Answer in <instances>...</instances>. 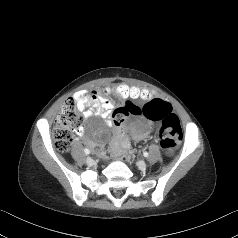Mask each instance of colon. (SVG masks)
I'll use <instances>...</instances> for the list:
<instances>
[{
  "label": "colon",
  "mask_w": 238,
  "mask_h": 238,
  "mask_svg": "<svg viewBox=\"0 0 238 238\" xmlns=\"http://www.w3.org/2000/svg\"><path fill=\"white\" fill-rule=\"evenodd\" d=\"M116 94L120 98L145 100L149 96L147 88L141 85L126 86L120 85L116 89ZM143 114L147 119L161 122L159 130L160 145L166 154L172 153L183 139V133L179 118L172 112V107L168 102L160 99H153L147 102L143 108L132 104L125 107L116 108L112 112L113 123L120 127L125 122L128 115ZM82 119L81 108L74 98L65 101L60 114L58 115L53 136L55 147L60 152L69 151L72 144L73 132L76 131ZM128 148L124 147L120 139L111 146V155L116 159L128 161L130 155Z\"/></svg>",
  "instance_id": "5ec220e1"
}]
</instances>
